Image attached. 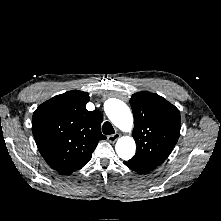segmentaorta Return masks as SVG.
Instances as JSON below:
<instances>
[{
  "instance_id": "aorta-1",
  "label": "aorta",
  "mask_w": 221,
  "mask_h": 221,
  "mask_svg": "<svg viewBox=\"0 0 221 221\" xmlns=\"http://www.w3.org/2000/svg\"><path fill=\"white\" fill-rule=\"evenodd\" d=\"M106 114L121 131L130 132L132 130L133 116L129 107L123 101L112 99L106 108ZM115 149L121 159L129 160L135 154L136 144L132 137L124 136L118 139Z\"/></svg>"
}]
</instances>
